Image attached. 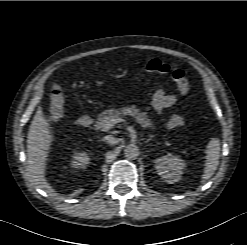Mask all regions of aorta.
<instances>
[{"label": "aorta", "mask_w": 247, "mask_h": 245, "mask_svg": "<svg viewBox=\"0 0 247 245\" xmlns=\"http://www.w3.org/2000/svg\"><path fill=\"white\" fill-rule=\"evenodd\" d=\"M124 156L127 159L135 160L139 156V148L134 144H129L124 149Z\"/></svg>", "instance_id": "aorta-1"}]
</instances>
